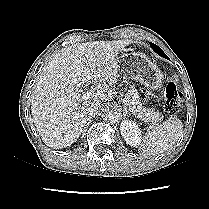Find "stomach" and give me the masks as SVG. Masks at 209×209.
Returning a JSON list of instances; mask_svg holds the SVG:
<instances>
[{"mask_svg":"<svg viewBox=\"0 0 209 209\" xmlns=\"http://www.w3.org/2000/svg\"><path fill=\"white\" fill-rule=\"evenodd\" d=\"M112 71L120 79L139 81L148 88L163 86L164 76L160 69L142 53H128L116 56L112 62Z\"/></svg>","mask_w":209,"mask_h":209,"instance_id":"stomach-1","label":"stomach"}]
</instances>
